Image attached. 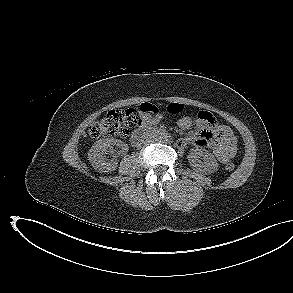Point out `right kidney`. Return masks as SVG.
<instances>
[{
  "label": "right kidney",
  "instance_id": "1",
  "mask_svg": "<svg viewBox=\"0 0 293 293\" xmlns=\"http://www.w3.org/2000/svg\"><path fill=\"white\" fill-rule=\"evenodd\" d=\"M114 145L120 147L122 152L128 150L127 144L114 138L100 139L93 144L88 153V160L95 170L111 172L116 169L118 162L115 156L112 159L106 156Z\"/></svg>",
  "mask_w": 293,
  "mask_h": 293
}]
</instances>
